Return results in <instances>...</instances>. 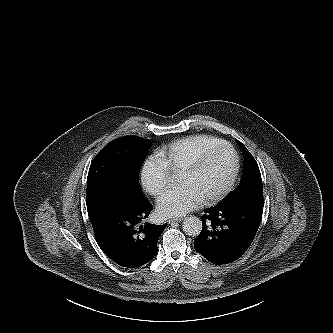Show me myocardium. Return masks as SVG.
<instances>
[{"label":"myocardium","instance_id":"myocardium-1","mask_svg":"<svg viewBox=\"0 0 333 333\" xmlns=\"http://www.w3.org/2000/svg\"><path fill=\"white\" fill-rule=\"evenodd\" d=\"M224 147L229 148L234 155V160H235L234 168H233V171H232L229 179L224 184V186L221 189H219L217 192H215L212 195H209L203 199L204 203H206V204H210V203H213V202H216V201L222 199L232 190V188L238 178V175L240 172V167H241L240 156H239V153L236 150V148L227 141H221L220 143L215 144V145L205 149L204 151H202L186 167H184L179 172L180 175H188V174L197 172L204 165V163L209 158V156H211L214 152H216L217 150L224 148Z\"/></svg>","mask_w":333,"mask_h":333}]
</instances>
